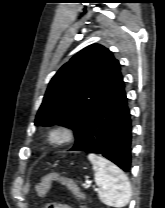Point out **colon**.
<instances>
[{"mask_svg":"<svg viewBox=\"0 0 165 208\" xmlns=\"http://www.w3.org/2000/svg\"><path fill=\"white\" fill-rule=\"evenodd\" d=\"M53 182H59L67 187L76 197L84 199V194L79 187L70 179L60 176L58 174H49L42 178L41 182L36 186V192L39 196H44Z\"/></svg>","mask_w":165,"mask_h":208,"instance_id":"1","label":"colon"}]
</instances>
